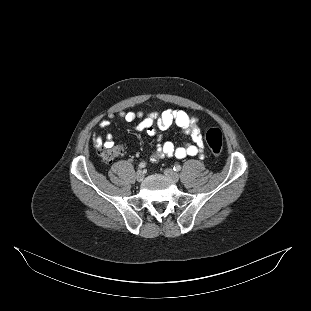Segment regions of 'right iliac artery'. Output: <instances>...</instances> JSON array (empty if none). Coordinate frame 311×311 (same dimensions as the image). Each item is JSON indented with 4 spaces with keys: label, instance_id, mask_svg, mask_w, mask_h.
Segmentation results:
<instances>
[{
    "label": "right iliac artery",
    "instance_id": "1",
    "mask_svg": "<svg viewBox=\"0 0 311 311\" xmlns=\"http://www.w3.org/2000/svg\"><path fill=\"white\" fill-rule=\"evenodd\" d=\"M145 166H146V164H145L144 162H141V163L139 164V168H140V169L145 168Z\"/></svg>",
    "mask_w": 311,
    "mask_h": 311
}]
</instances>
